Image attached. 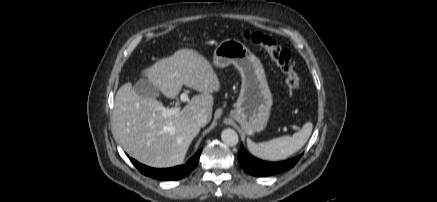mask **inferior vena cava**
I'll return each mask as SVG.
<instances>
[{
    "label": "inferior vena cava",
    "mask_w": 437,
    "mask_h": 202,
    "mask_svg": "<svg viewBox=\"0 0 437 202\" xmlns=\"http://www.w3.org/2000/svg\"><path fill=\"white\" fill-rule=\"evenodd\" d=\"M196 122L200 127H204L209 122V119L206 114L199 113L196 117Z\"/></svg>",
    "instance_id": "602c4592"
}]
</instances>
